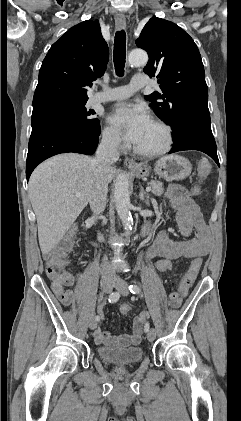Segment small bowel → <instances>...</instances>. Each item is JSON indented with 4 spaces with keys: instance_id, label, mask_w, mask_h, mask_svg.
<instances>
[{
    "instance_id": "small-bowel-1",
    "label": "small bowel",
    "mask_w": 241,
    "mask_h": 421,
    "mask_svg": "<svg viewBox=\"0 0 241 421\" xmlns=\"http://www.w3.org/2000/svg\"><path fill=\"white\" fill-rule=\"evenodd\" d=\"M173 208L177 211V223L181 234L189 237L193 232L195 237L185 241H176L169 234L162 231L156 235L148 247L145 257L153 259L162 257L169 260L180 258H200L210 252L211 238L209 228L203 220L197 204L191 198L188 190L182 186L170 185L166 191ZM72 285L55 288L53 291L64 306H70L74 299V292L69 288ZM182 303V297L174 292L169 297V305L177 308ZM147 320L146 313H140L134 318L130 334L114 335L97 328L94 332L95 342L98 345L135 346L142 337L143 326Z\"/></svg>"
}]
</instances>
